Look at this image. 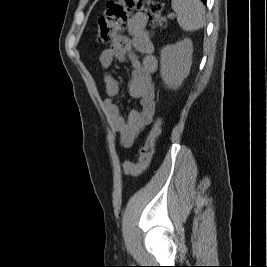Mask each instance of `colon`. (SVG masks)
I'll use <instances>...</instances> for the list:
<instances>
[{"instance_id": "5ec220e1", "label": "colon", "mask_w": 267, "mask_h": 267, "mask_svg": "<svg viewBox=\"0 0 267 267\" xmlns=\"http://www.w3.org/2000/svg\"><path fill=\"white\" fill-rule=\"evenodd\" d=\"M135 10L145 13L154 26H164L166 23L162 15V5L154 0H109L104 14L98 20L97 40L101 44L112 41L125 27V24ZM161 133V120L154 122L143 146L139 150L137 162L124 161L123 171L137 176L149 166L156 139Z\"/></svg>"}]
</instances>
